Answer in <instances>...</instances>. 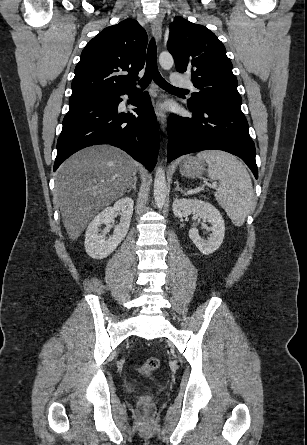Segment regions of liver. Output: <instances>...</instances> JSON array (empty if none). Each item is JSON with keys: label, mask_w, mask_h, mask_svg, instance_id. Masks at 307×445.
I'll list each match as a JSON object with an SVG mask.
<instances>
[{"label": "liver", "mask_w": 307, "mask_h": 445, "mask_svg": "<svg viewBox=\"0 0 307 445\" xmlns=\"http://www.w3.org/2000/svg\"><path fill=\"white\" fill-rule=\"evenodd\" d=\"M136 168L134 158L110 144L83 148L59 166L55 198L69 239L76 241L94 214L127 192Z\"/></svg>", "instance_id": "6515ba94"}]
</instances>
